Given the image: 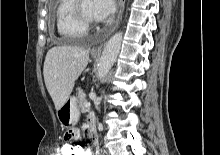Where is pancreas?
<instances>
[{
  "instance_id": "cf45deb5",
  "label": "pancreas",
  "mask_w": 220,
  "mask_h": 155,
  "mask_svg": "<svg viewBox=\"0 0 220 155\" xmlns=\"http://www.w3.org/2000/svg\"><path fill=\"white\" fill-rule=\"evenodd\" d=\"M87 102L86 95L83 91L78 92V107L82 112L88 111V108L85 107V103Z\"/></svg>"
}]
</instances>
